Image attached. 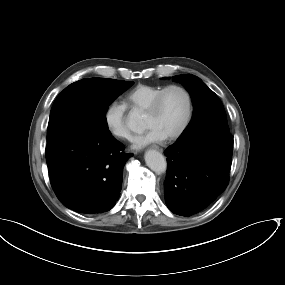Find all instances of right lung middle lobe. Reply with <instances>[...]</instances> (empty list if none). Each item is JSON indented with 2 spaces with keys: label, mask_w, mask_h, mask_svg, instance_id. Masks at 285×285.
<instances>
[{
  "label": "right lung middle lobe",
  "mask_w": 285,
  "mask_h": 285,
  "mask_svg": "<svg viewBox=\"0 0 285 285\" xmlns=\"http://www.w3.org/2000/svg\"><path fill=\"white\" fill-rule=\"evenodd\" d=\"M133 82L106 78L82 79L65 88L56 98L49 118L47 144L80 123L108 130V106Z\"/></svg>",
  "instance_id": "right-lung-middle-lobe-1"
}]
</instances>
